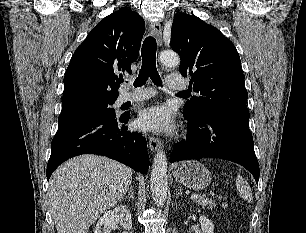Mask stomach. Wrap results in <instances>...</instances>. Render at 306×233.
<instances>
[{
    "label": "stomach",
    "mask_w": 306,
    "mask_h": 233,
    "mask_svg": "<svg viewBox=\"0 0 306 233\" xmlns=\"http://www.w3.org/2000/svg\"><path fill=\"white\" fill-rule=\"evenodd\" d=\"M173 176L177 182L193 190H203L211 182L209 170L196 160L184 161Z\"/></svg>",
    "instance_id": "0dacf381"
}]
</instances>
